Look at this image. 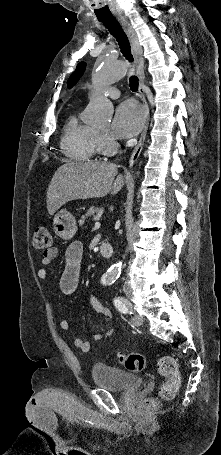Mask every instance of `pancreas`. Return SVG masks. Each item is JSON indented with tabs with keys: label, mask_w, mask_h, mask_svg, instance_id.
Instances as JSON below:
<instances>
[{
	"label": "pancreas",
	"mask_w": 221,
	"mask_h": 455,
	"mask_svg": "<svg viewBox=\"0 0 221 455\" xmlns=\"http://www.w3.org/2000/svg\"><path fill=\"white\" fill-rule=\"evenodd\" d=\"M100 214H101V210L99 208L90 207L89 210L86 212V214L81 217V220L79 221V225L80 226L84 225L85 221H87L89 218H91L94 221H97Z\"/></svg>",
	"instance_id": "1"
}]
</instances>
